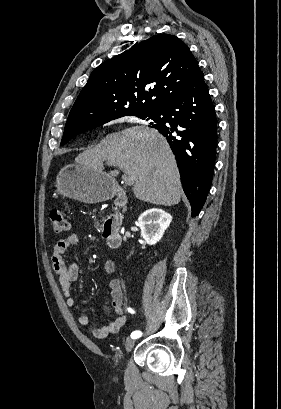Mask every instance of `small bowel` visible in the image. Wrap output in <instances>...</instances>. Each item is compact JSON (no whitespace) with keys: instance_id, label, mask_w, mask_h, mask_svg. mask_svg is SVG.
Masks as SVG:
<instances>
[{"instance_id":"1","label":"small bowel","mask_w":281,"mask_h":409,"mask_svg":"<svg viewBox=\"0 0 281 409\" xmlns=\"http://www.w3.org/2000/svg\"><path fill=\"white\" fill-rule=\"evenodd\" d=\"M78 242V236L75 233L68 234L60 239L55 247L52 255V264L55 272L58 275L59 284L62 288L67 305L72 309H78V304L71 293V285L77 279L79 267L76 263L66 265L64 254ZM105 273L113 274L116 270V264L113 260H106L103 266ZM111 305L116 314V317L104 326L94 325L91 323L88 315L79 314L78 323L86 327L89 332L97 337L104 338L110 334H115L120 331L126 322L124 312V298L122 282L119 279H112L109 282Z\"/></svg>"}]
</instances>
